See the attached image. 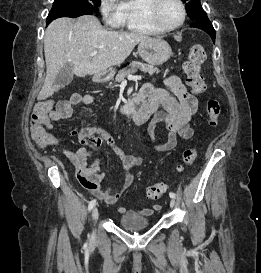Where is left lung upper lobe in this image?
<instances>
[{
	"mask_svg": "<svg viewBox=\"0 0 261 273\" xmlns=\"http://www.w3.org/2000/svg\"><path fill=\"white\" fill-rule=\"evenodd\" d=\"M185 3L186 11L191 20L195 21L201 17L207 16L203 10L200 0H182Z\"/></svg>",
	"mask_w": 261,
	"mask_h": 273,
	"instance_id": "5c2ea615",
	"label": "left lung upper lobe"
}]
</instances>
